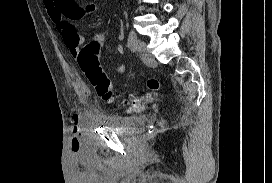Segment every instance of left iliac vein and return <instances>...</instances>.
Instances as JSON below:
<instances>
[{"instance_id": "obj_1", "label": "left iliac vein", "mask_w": 272, "mask_h": 183, "mask_svg": "<svg viewBox=\"0 0 272 183\" xmlns=\"http://www.w3.org/2000/svg\"><path fill=\"white\" fill-rule=\"evenodd\" d=\"M137 51L141 60L146 64H152L154 62V57L150 53L147 44L144 41H139L137 43Z\"/></svg>"}]
</instances>
